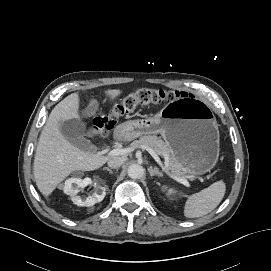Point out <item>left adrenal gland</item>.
<instances>
[{
  "label": "left adrenal gland",
  "instance_id": "1",
  "mask_svg": "<svg viewBox=\"0 0 271 271\" xmlns=\"http://www.w3.org/2000/svg\"><path fill=\"white\" fill-rule=\"evenodd\" d=\"M148 171H149L151 177H153V176L163 177V174L161 172H159L157 167H154V168L149 167Z\"/></svg>",
  "mask_w": 271,
  "mask_h": 271
}]
</instances>
